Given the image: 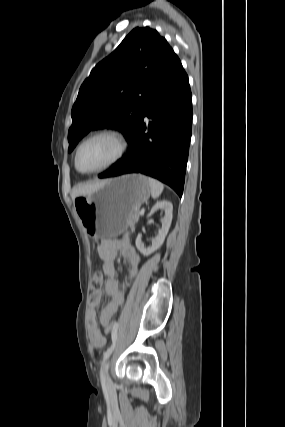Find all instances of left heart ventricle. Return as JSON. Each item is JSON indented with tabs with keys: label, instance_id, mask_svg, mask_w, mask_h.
I'll return each mask as SVG.
<instances>
[{
	"label": "left heart ventricle",
	"instance_id": "b2bd125f",
	"mask_svg": "<svg viewBox=\"0 0 285 427\" xmlns=\"http://www.w3.org/2000/svg\"><path fill=\"white\" fill-rule=\"evenodd\" d=\"M118 149V142L110 136L94 138L81 148L78 157L79 167L83 171L98 169L110 162Z\"/></svg>",
	"mask_w": 285,
	"mask_h": 427
}]
</instances>
